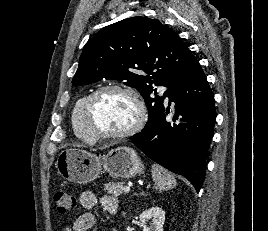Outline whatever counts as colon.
Instances as JSON below:
<instances>
[{
  "label": "colon",
  "instance_id": "5ec220e1",
  "mask_svg": "<svg viewBox=\"0 0 268 231\" xmlns=\"http://www.w3.org/2000/svg\"><path fill=\"white\" fill-rule=\"evenodd\" d=\"M55 204L59 213H66L75 206L76 199L73 195L65 191H58L55 194Z\"/></svg>",
  "mask_w": 268,
  "mask_h": 231
}]
</instances>
